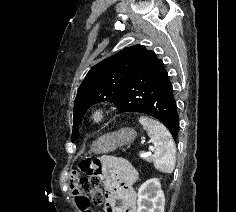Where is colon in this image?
Listing matches in <instances>:
<instances>
[{"mask_svg":"<svg viewBox=\"0 0 236 212\" xmlns=\"http://www.w3.org/2000/svg\"><path fill=\"white\" fill-rule=\"evenodd\" d=\"M80 167L83 171H87V176L80 181L82 192L89 195L95 204H103L105 199L103 192L104 180L99 171L96 170L95 164L90 160H85Z\"/></svg>","mask_w":236,"mask_h":212,"instance_id":"colon-1","label":"colon"}]
</instances>
